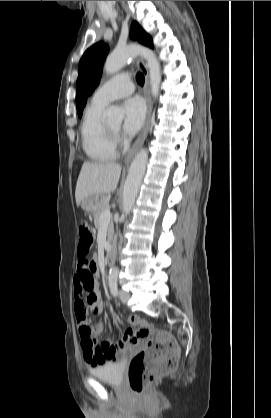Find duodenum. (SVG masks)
<instances>
[{
	"label": "duodenum",
	"mask_w": 271,
	"mask_h": 418,
	"mask_svg": "<svg viewBox=\"0 0 271 418\" xmlns=\"http://www.w3.org/2000/svg\"><path fill=\"white\" fill-rule=\"evenodd\" d=\"M115 253H116V245L113 242L111 243V245L108 247V250H107V263L108 264H111L112 261L114 260Z\"/></svg>",
	"instance_id": "duodenum-1"
}]
</instances>
